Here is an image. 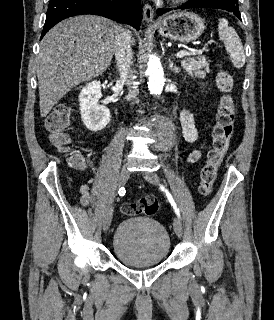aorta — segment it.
Instances as JSON below:
<instances>
[{"label": "aorta", "mask_w": 274, "mask_h": 320, "mask_svg": "<svg viewBox=\"0 0 274 320\" xmlns=\"http://www.w3.org/2000/svg\"><path fill=\"white\" fill-rule=\"evenodd\" d=\"M146 73L148 75V88L152 95H160L165 84V77L160 60L149 56ZM156 137L157 148H165L171 145L174 139V125L171 121L160 116H154L151 120Z\"/></svg>", "instance_id": "aorta-1"}]
</instances>
